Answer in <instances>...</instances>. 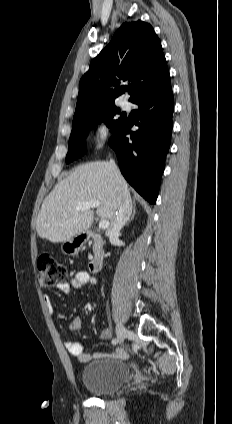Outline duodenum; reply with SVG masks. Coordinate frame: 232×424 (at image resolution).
Listing matches in <instances>:
<instances>
[{
	"mask_svg": "<svg viewBox=\"0 0 232 424\" xmlns=\"http://www.w3.org/2000/svg\"><path fill=\"white\" fill-rule=\"evenodd\" d=\"M97 234L94 232H87L83 235L84 239L86 241L92 239L93 237H96ZM105 258V251L102 247V245L100 243H97L95 246V250L93 252V256L92 259L90 260L89 263V270L92 273H97L100 271V269L102 268L103 265V261Z\"/></svg>",
	"mask_w": 232,
	"mask_h": 424,
	"instance_id": "1",
	"label": "duodenum"
}]
</instances>
